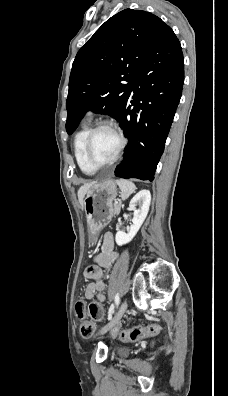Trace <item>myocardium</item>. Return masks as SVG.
<instances>
[{"instance_id": "myocardium-1", "label": "myocardium", "mask_w": 228, "mask_h": 396, "mask_svg": "<svg viewBox=\"0 0 228 396\" xmlns=\"http://www.w3.org/2000/svg\"><path fill=\"white\" fill-rule=\"evenodd\" d=\"M104 128L111 129L116 134V136L118 137V140H119V144H118V148H117V151H116L114 157L108 163L98 165L92 161V158L90 155V148H91V144H92L95 134L99 130L104 129ZM124 146H125V138H124L123 134L121 133V131L117 128V126L110 121H101L90 129V131L86 137V140L84 143V149H83L85 161H86L87 165L95 171L110 167L113 164H115L118 161V159L121 157Z\"/></svg>"}]
</instances>
